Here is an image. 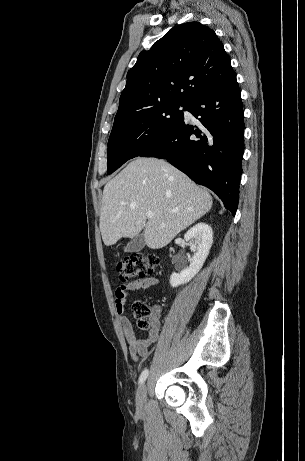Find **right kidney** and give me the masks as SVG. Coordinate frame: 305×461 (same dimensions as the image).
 Here are the masks:
<instances>
[{
	"label": "right kidney",
	"instance_id": "right-kidney-1",
	"mask_svg": "<svg viewBox=\"0 0 305 461\" xmlns=\"http://www.w3.org/2000/svg\"><path fill=\"white\" fill-rule=\"evenodd\" d=\"M184 239L189 242L194 252L190 265L180 273L173 272L170 284L173 288L188 283L202 268L213 243V231L206 223H198L185 234Z\"/></svg>",
	"mask_w": 305,
	"mask_h": 461
}]
</instances>
